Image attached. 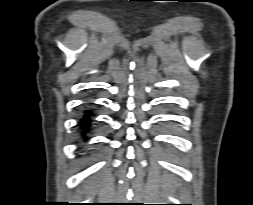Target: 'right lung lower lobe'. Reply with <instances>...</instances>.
<instances>
[{
  "instance_id": "right-lung-lower-lobe-1",
  "label": "right lung lower lobe",
  "mask_w": 253,
  "mask_h": 205,
  "mask_svg": "<svg viewBox=\"0 0 253 205\" xmlns=\"http://www.w3.org/2000/svg\"><path fill=\"white\" fill-rule=\"evenodd\" d=\"M91 112L87 111L86 115L84 116V119L81 121V126L82 127H89V123H90V116Z\"/></svg>"
}]
</instances>
